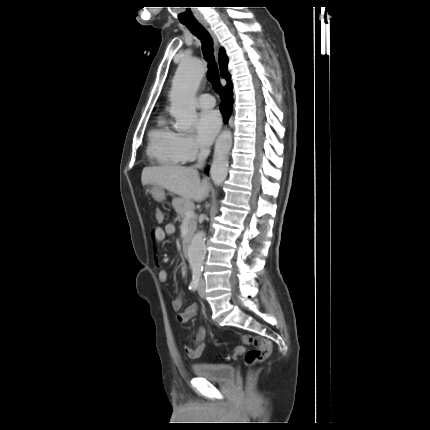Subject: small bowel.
<instances>
[{"instance_id":"obj_1","label":"small bowel","mask_w":430,"mask_h":430,"mask_svg":"<svg viewBox=\"0 0 430 430\" xmlns=\"http://www.w3.org/2000/svg\"><path fill=\"white\" fill-rule=\"evenodd\" d=\"M175 232V226L173 223H168L164 228L155 227L152 230L151 237L154 242L160 244L164 241L167 236L173 235ZM159 265V263L157 262ZM158 279L160 282L165 283L168 280V272L164 268H160L158 273ZM183 304V296L180 294L176 299H174L171 303L174 311L179 312L177 314V321L179 323H187L192 318H194L197 314L198 307L196 304H191L186 307L183 311L180 312ZM205 328L199 327L194 338L192 344H185L184 351L187 356L191 359H197L201 356L204 347H205Z\"/></svg>"}]
</instances>
